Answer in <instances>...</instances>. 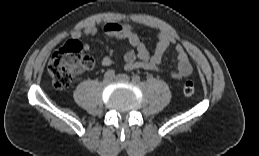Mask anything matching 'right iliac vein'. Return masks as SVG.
<instances>
[{
    "label": "right iliac vein",
    "mask_w": 259,
    "mask_h": 156,
    "mask_svg": "<svg viewBox=\"0 0 259 156\" xmlns=\"http://www.w3.org/2000/svg\"><path fill=\"white\" fill-rule=\"evenodd\" d=\"M110 81H111L110 79H104V80H103V84L106 85V84L110 83Z\"/></svg>",
    "instance_id": "right-iliac-vein-1"
}]
</instances>
